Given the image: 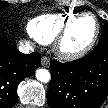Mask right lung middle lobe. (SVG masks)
<instances>
[{
    "mask_svg": "<svg viewBox=\"0 0 108 108\" xmlns=\"http://www.w3.org/2000/svg\"><path fill=\"white\" fill-rule=\"evenodd\" d=\"M8 5H9V3L4 2V1H0V10H3Z\"/></svg>",
    "mask_w": 108,
    "mask_h": 108,
    "instance_id": "1",
    "label": "right lung middle lobe"
}]
</instances>
